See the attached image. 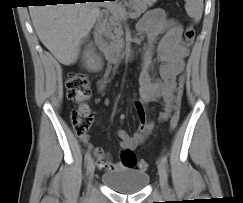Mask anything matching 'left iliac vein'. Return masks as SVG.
Segmentation results:
<instances>
[{"instance_id": "1", "label": "left iliac vein", "mask_w": 243, "mask_h": 203, "mask_svg": "<svg viewBox=\"0 0 243 203\" xmlns=\"http://www.w3.org/2000/svg\"><path fill=\"white\" fill-rule=\"evenodd\" d=\"M157 168H158L159 181H160L162 192L164 194H168L169 187H168L167 171H166L165 164L162 162V160L157 161Z\"/></svg>"}]
</instances>
